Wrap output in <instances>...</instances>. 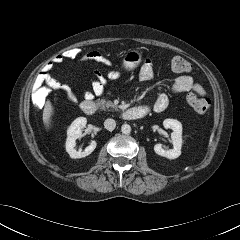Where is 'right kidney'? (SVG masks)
Returning <instances> with one entry per match:
<instances>
[{
  "label": "right kidney",
  "instance_id": "right-kidney-1",
  "mask_svg": "<svg viewBox=\"0 0 240 240\" xmlns=\"http://www.w3.org/2000/svg\"><path fill=\"white\" fill-rule=\"evenodd\" d=\"M87 119L85 117H78L75 119L67 130L66 151L71 158H83L91 154L97 146L96 141H91L90 145L84 150H76V140L82 137V130L85 128Z\"/></svg>",
  "mask_w": 240,
  "mask_h": 240
}]
</instances>
